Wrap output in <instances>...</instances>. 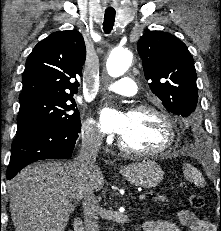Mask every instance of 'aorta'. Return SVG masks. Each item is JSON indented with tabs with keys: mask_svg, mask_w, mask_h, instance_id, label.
<instances>
[{
	"mask_svg": "<svg viewBox=\"0 0 221 231\" xmlns=\"http://www.w3.org/2000/svg\"><path fill=\"white\" fill-rule=\"evenodd\" d=\"M132 53L126 48H115L110 53L106 68L111 77L122 76L129 68L132 62Z\"/></svg>",
	"mask_w": 221,
	"mask_h": 231,
	"instance_id": "1",
	"label": "aorta"
}]
</instances>
